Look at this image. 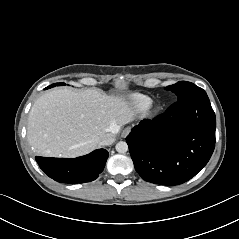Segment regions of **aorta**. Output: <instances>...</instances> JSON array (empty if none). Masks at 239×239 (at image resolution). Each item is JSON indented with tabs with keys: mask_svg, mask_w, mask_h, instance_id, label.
<instances>
[{
	"mask_svg": "<svg viewBox=\"0 0 239 239\" xmlns=\"http://www.w3.org/2000/svg\"><path fill=\"white\" fill-rule=\"evenodd\" d=\"M115 148H116V151L119 152V153H125V152L128 151V145L124 141L118 142L116 144Z\"/></svg>",
	"mask_w": 239,
	"mask_h": 239,
	"instance_id": "762f6f07",
	"label": "aorta"
}]
</instances>
